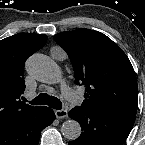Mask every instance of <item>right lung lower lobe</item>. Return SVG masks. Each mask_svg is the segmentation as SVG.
I'll use <instances>...</instances> for the list:
<instances>
[{
    "mask_svg": "<svg viewBox=\"0 0 145 145\" xmlns=\"http://www.w3.org/2000/svg\"><path fill=\"white\" fill-rule=\"evenodd\" d=\"M55 120L48 107H41L29 116L0 130V145H38L41 131Z\"/></svg>",
    "mask_w": 145,
    "mask_h": 145,
    "instance_id": "1",
    "label": "right lung lower lobe"
}]
</instances>
